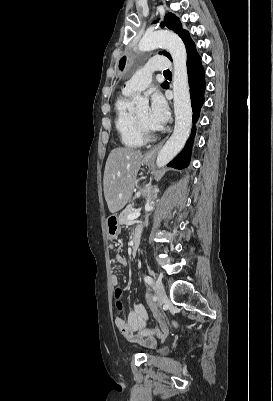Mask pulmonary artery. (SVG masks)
I'll return each mask as SVG.
<instances>
[{"label":"pulmonary artery","instance_id":"obj_1","mask_svg":"<svg viewBox=\"0 0 273 401\" xmlns=\"http://www.w3.org/2000/svg\"><path fill=\"white\" fill-rule=\"evenodd\" d=\"M169 63L170 60L168 57H151L149 63L145 64L144 68H139L137 71L138 75L134 77L139 87L135 88V81L130 80L125 88L126 93L131 94L142 89H147L149 83L153 80L152 72L167 71Z\"/></svg>","mask_w":273,"mask_h":401}]
</instances>
